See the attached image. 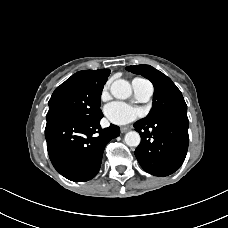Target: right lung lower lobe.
<instances>
[{"mask_svg":"<svg viewBox=\"0 0 228 228\" xmlns=\"http://www.w3.org/2000/svg\"><path fill=\"white\" fill-rule=\"evenodd\" d=\"M103 114L92 118L60 119L47 124V150L54 168L71 181L83 182L98 173L105 146L120 134L111 124L101 129Z\"/></svg>","mask_w":228,"mask_h":228,"instance_id":"98d812e1","label":"right lung lower lobe"}]
</instances>
